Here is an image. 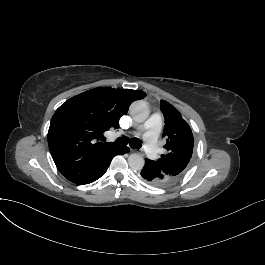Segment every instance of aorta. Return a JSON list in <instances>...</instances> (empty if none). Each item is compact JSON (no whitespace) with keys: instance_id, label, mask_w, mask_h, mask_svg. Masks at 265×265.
I'll list each match as a JSON object with an SVG mask.
<instances>
[{"instance_id":"1","label":"aorta","mask_w":265,"mask_h":265,"mask_svg":"<svg viewBox=\"0 0 265 265\" xmlns=\"http://www.w3.org/2000/svg\"><path fill=\"white\" fill-rule=\"evenodd\" d=\"M130 113L136 122H144L149 116V109L145 102L136 101L130 106ZM128 164L133 170H141L144 167V158L138 154L133 153L128 157Z\"/></svg>"}]
</instances>
